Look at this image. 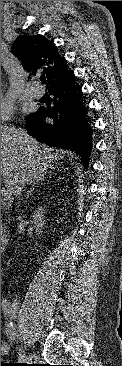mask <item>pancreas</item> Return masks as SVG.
Listing matches in <instances>:
<instances>
[{"instance_id":"obj_1","label":"pancreas","mask_w":122,"mask_h":366,"mask_svg":"<svg viewBox=\"0 0 122 366\" xmlns=\"http://www.w3.org/2000/svg\"><path fill=\"white\" fill-rule=\"evenodd\" d=\"M2 198H3V197H2ZM2 198H1V202H2L3 200H6V199H4V198L2 199ZM3 228H4V227H3V226H2V224H1V229H3Z\"/></svg>"}]
</instances>
